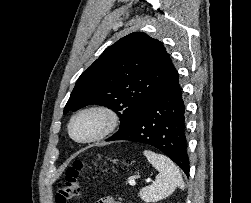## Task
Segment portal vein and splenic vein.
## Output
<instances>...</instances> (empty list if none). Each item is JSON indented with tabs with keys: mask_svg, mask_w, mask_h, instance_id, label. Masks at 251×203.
I'll use <instances>...</instances> for the list:
<instances>
[{
	"mask_svg": "<svg viewBox=\"0 0 251 203\" xmlns=\"http://www.w3.org/2000/svg\"><path fill=\"white\" fill-rule=\"evenodd\" d=\"M129 184H130L131 186H135V185H136V182H135V180H130V181H129Z\"/></svg>",
	"mask_w": 251,
	"mask_h": 203,
	"instance_id": "18ae733b",
	"label": "portal vein and splenic vein"
}]
</instances>
